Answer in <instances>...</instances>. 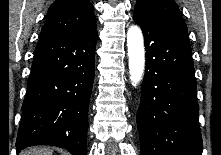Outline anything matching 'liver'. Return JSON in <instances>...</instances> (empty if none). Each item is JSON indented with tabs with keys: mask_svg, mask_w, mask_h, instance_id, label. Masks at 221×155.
Instances as JSON below:
<instances>
[{
	"mask_svg": "<svg viewBox=\"0 0 221 155\" xmlns=\"http://www.w3.org/2000/svg\"><path fill=\"white\" fill-rule=\"evenodd\" d=\"M53 150L48 147H31L21 152V155H52Z\"/></svg>",
	"mask_w": 221,
	"mask_h": 155,
	"instance_id": "1",
	"label": "liver"
}]
</instances>
